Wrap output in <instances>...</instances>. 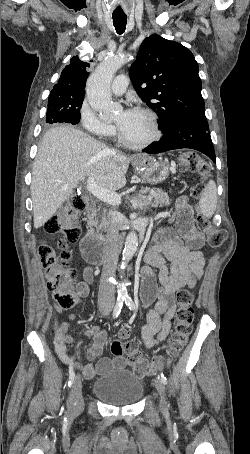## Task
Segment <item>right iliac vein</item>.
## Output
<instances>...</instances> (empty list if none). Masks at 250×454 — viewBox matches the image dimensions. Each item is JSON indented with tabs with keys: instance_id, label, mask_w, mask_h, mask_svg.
I'll return each mask as SVG.
<instances>
[{
	"instance_id": "63e3f726",
	"label": "right iliac vein",
	"mask_w": 250,
	"mask_h": 454,
	"mask_svg": "<svg viewBox=\"0 0 250 454\" xmlns=\"http://www.w3.org/2000/svg\"><path fill=\"white\" fill-rule=\"evenodd\" d=\"M109 309L105 308L101 311L103 315H107L109 313ZM68 408L72 414L79 413L84 408V400L82 396V382L80 375L74 380L73 388L71 394L68 399Z\"/></svg>"
}]
</instances>
